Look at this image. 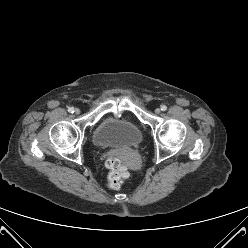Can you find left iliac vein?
<instances>
[{"mask_svg": "<svg viewBox=\"0 0 248 248\" xmlns=\"http://www.w3.org/2000/svg\"><path fill=\"white\" fill-rule=\"evenodd\" d=\"M160 112H161V109H160V108H156V109H155V113H156V114H159Z\"/></svg>", "mask_w": 248, "mask_h": 248, "instance_id": "obj_1", "label": "left iliac vein"}]
</instances>
